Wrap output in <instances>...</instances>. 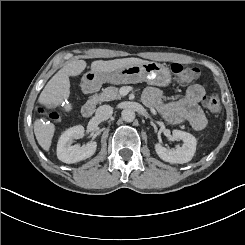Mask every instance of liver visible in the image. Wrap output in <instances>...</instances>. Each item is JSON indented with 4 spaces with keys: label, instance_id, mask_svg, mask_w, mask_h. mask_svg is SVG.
Masks as SVG:
<instances>
[{
    "label": "liver",
    "instance_id": "6515ba94",
    "mask_svg": "<svg viewBox=\"0 0 245 245\" xmlns=\"http://www.w3.org/2000/svg\"><path fill=\"white\" fill-rule=\"evenodd\" d=\"M143 62L145 61L139 58L95 61L92 63V69L94 71H110L127 65L140 64ZM85 67L86 62L84 60H76L67 64L47 83L39 97V100L45 105H51L52 103H63L69 96V75H78L82 70H84ZM34 132L39 144L45 150H48L54 132L53 124L43 125L40 121H37L34 125Z\"/></svg>",
    "mask_w": 245,
    "mask_h": 245
}]
</instances>
